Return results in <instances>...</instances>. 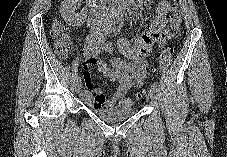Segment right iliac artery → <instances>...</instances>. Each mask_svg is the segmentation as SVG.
<instances>
[{
    "mask_svg": "<svg viewBox=\"0 0 227 157\" xmlns=\"http://www.w3.org/2000/svg\"><path fill=\"white\" fill-rule=\"evenodd\" d=\"M76 79H77V82H80L81 81V78L80 77H77Z\"/></svg>",
    "mask_w": 227,
    "mask_h": 157,
    "instance_id": "1",
    "label": "right iliac artery"
}]
</instances>
